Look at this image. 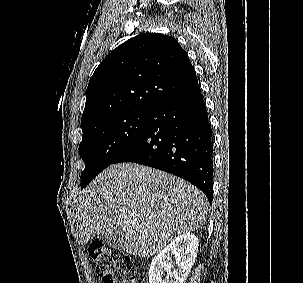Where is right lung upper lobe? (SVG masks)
I'll list each match as a JSON object with an SVG mask.
<instances>
[{"label":"right lung upper lobe","mask_w":303,"mask_h":283,"mask_svg":"<svg viewBox=\"0 0 303 283\" xmlns=\"http://www.w3.org/2000/svg\"><path fill=\"white\" fill-rule=\"evenodd\" d=\"M197 85L194 67L176 39L141 34L118 46L95 70L86 91L82 130L122 112H156Z\"/></svg>","instance_id":"1"}]
</instances>
